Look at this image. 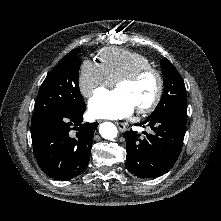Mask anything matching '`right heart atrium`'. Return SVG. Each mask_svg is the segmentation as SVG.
<instances>
[{"mask_svg":"<svg viewBox=\"0 0 221 221\" xmlns=\"http://www.w3.org/2000/svg\"><path fill=\"white\" fill-rule=\"evenodd\" d=\"M114 80L97 62L85 60L78 73V88L84 97H90L95 92L114 84Z\"/></svg>","mask_w":221,"mask_h":221,"instance_id":"1","label":"right heart atrium"}]
</instances>
